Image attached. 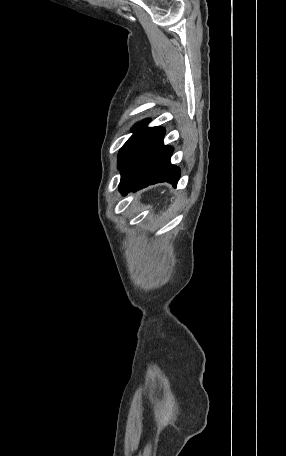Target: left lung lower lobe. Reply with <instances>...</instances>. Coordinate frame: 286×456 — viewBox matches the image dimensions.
<instances>
[{
    "mask_svg": "<svg viewBox=\"0 0 286 456\" xmlns=\"http://www.w3.org/2000/svg\"><path fill=\"white\" fill-rule=\"evenodd\" d=\"M164 128H146L128 149L122 163L119 190L123 195L167 181L176 187L180 169L171 164V146L163 145Z\"/></svg>",
    "mask_w": 286,
    "mask_h": 456,
    "instance_id": "0a47b994",
    "label": "left lung lower lobe"
}]
</instances>
